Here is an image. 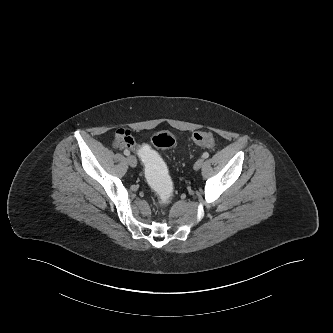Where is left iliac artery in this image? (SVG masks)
Wrapping results in <instances>:
<instances>
[{"label":"left iliac artery","mask_w":333,"mask_h":333,"mask_svg":"<svg viewBox=\"0 0 333 333\" xmlns=\"http://www.w3.org/2000/svg\"><path fill=\"white\" fill-rule=\"evenodd\" d=\"M202 157H203L204 159L208 158V157H209V153H207V152L203 153Z\"/></svg>","instance_id":"44dca946"}]
</instances>
